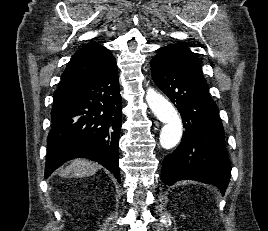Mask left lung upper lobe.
Listing matches in <instances>:
<instances>
[{"mask_svg": "<svg viewBox=\"0 0 268 231\" xmlns=\"http://www.w3.org/2000/svg\"><path fill=\"white\" fill-rule=\"evenodd\" d=\"M154 58L162 59L173 67L206 81L202 73L200 60L183 45L171 44L162 47L157 50V55Z\"/></svg>", "mask_w": 268, "mask_h": 231, "instance_id": "1", "label": "left lung upper lobe"}]
</instances>
